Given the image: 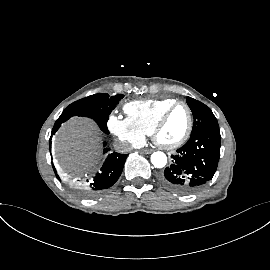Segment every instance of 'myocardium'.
<instances>
[{"instance_id": "1", "label": "myocardium", "mask_w": 270, "mask_h": 270, "mask_svg": "<svg viewBox=\"0 0 270 270\" xmlns=\"http://www.w3.org/2000/svg\"><path fill=\"white\" fill-rule=\"evenodd\" d=\"M178 106H184L188 113V125L186 128V131L183 134V136L177 141L171 142V143H165L160 140L159 134L164 124L166 123L169 115L171 114V112ZM192 129H193V112H192L191 107L184 101H176L173 104H171L168 108H166L165 111L161 114V116L159 117V119L157 120L153 128L151 136H152V140L154 144L157 147L164 150H174L181 147L188 140V138L191 135Z\"/></svg>"}]
</instances>
